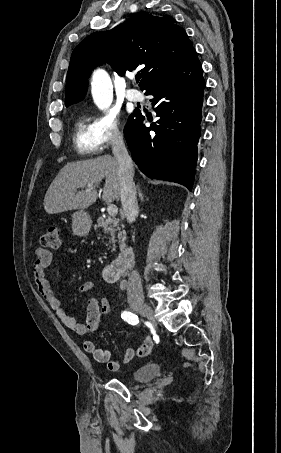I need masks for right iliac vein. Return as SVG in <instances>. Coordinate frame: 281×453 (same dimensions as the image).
<instances>
[{
  "label": "right iliac vein",
  "instance_id": "obj_1",
  "mask_svg": "<svg viewBox=\"0 0 281 453\" xmlns=\"http://www.w3.org/2000/svg\"><path fill=\"white\" fill-rule=\"evenodd\" d=\"M134 308L137 309L138 312H143L145 317H148L152 322L155 320L152 316L154 312L152 308H149L148 304L145 301H133ZM156 330L159 328L157 325L154 327Z\"/></svg>",
  "mask_w": 281,
  "mask_h": 453
}]
</instances>
